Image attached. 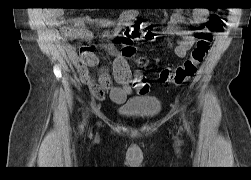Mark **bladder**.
I'll list each match as a JSON object with an SVG mask.
<instances>
[{
  "label": "bladder",
  "mask_w": 251,
  "mask_h": 180,
  "mask_svg": "<svg viewBox=\"0 0 251 180\" xmlns=\"http://www.w3.org/2000/svg\"><path fill=\"white\" fill-rule=\"evenodd\" d=\"M161 109V100L156 96H149L127 101L117 108V112L124 118L148 120L157 116Z\"/></svg>",
  "instance_id": "1"
}]
</instances>
